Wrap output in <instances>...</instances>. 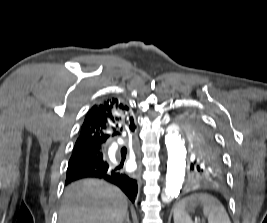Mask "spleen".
Here are the masks:
<instances>
[{
	"instance_id": "1",
	"label": "spleen",
	"mask_w": 267,
	"mask_h": 223,
	"mask_svg": "<svg viewBox=\"0 0 267 223\" xmlns=\"http://www.w3.org/2000/svg\"><path fill=\"white\" fill-rule=\"evenodd\" d=\"M192 200H199L203 205V213L208 223H231L229 216L219 200L208 194H196L181 200L174 207V223H193L185 213V206Z\"/></svg>"
}]
</instances>
